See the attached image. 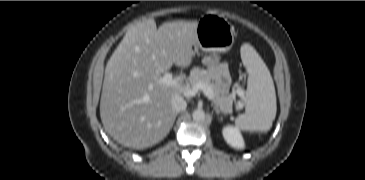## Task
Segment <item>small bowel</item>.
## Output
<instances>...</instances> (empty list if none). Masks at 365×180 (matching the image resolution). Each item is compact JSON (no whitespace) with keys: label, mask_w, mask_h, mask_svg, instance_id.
<instances>
[{"label":"small bowel","mask_w":365,"mask_h":180,"mask_svg":"<svg viewBox=\"0 0 365 180\" xmlns=\"http://www.w3.org/2000/svg\"><path fill=\"white\" fill-rule=\"evenodd\" d=\"M205 65L218 82L228 84L229 75L226 65L218 63V59L214 56L205 58Z\"/></svg>","instance_id":"1"}]
</instances>
